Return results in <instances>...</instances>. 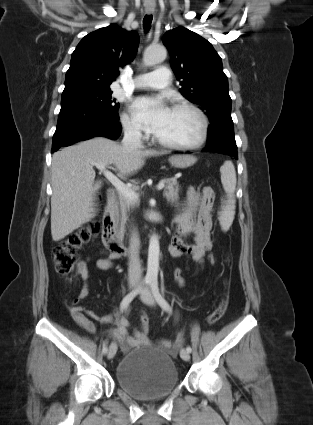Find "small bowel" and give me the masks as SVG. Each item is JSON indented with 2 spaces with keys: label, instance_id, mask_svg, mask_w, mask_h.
<instances>
[{
  "label": "small bowel",
  "instance_id": "obj_1",
  "mask_svg": "<svg viewBox=\"0 0 313 425\" xmlns=\"http://www.w3.org/2000/svg\"><path fill=\"white\" fill-rule=\"evenodd\" d=\"M186 195V202L182 210L174 218L177 228L169 246V253L172 257L190 255L195 262L203 265L205 254L213 247L210 231L212 229L211 210L214 202V191L211 187H204L201 191L189 187ZM190 234L195 237V244L193 245L184 241L185 237ZM117 258L118 256L115 254L108 258H101L97 260V267L101 270H110L114 267V260ZM81 272L82 276L86 278L87 271L82 268ZM88 294L89 289L84 286L76 302L85 299ZM70 313L74 322L90 334L96 330L93 320L99 323H107L114 319L112 315H98L86 311L78 305L71 306ZM110 336L118 341L124 350L148 342L147 339L141 337L138 331L131 329L129 322L123 317L117 318V328ZM178 342H181V337L178 338ZM163 344L170 346L168 341H163Z\"/></svg>",
  "mask_w": 313,
  "mask_h": 425
}]
</instances>
